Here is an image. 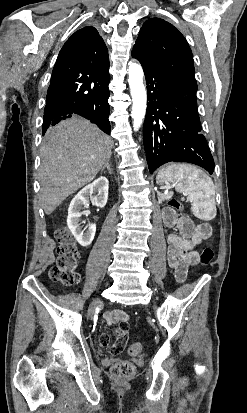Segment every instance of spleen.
Masks as SVG:
<instances>
[{"label": "spleen", "mask_w": 247, "mask_h": 413, "mask_svg": "<svg viewBox=\"0 0 247 413\" xmlns=\"http://www.w3.org/2000/svg\"><path fill=\"white\" fill-rule=\"evenodd\" d=\"M168 168H161L159 170L156 180L157 182H169L168 180ZM173 184H175L178 192H188V200L193 204V211L195 215H201L204 217H210L212 211L215 213V188L212 178L205 174L200 168H181L177 176L171 178ZM199 207H204V211H199Z\"/></svg>", "instance_id": "spleen-1"}]
</instances>
